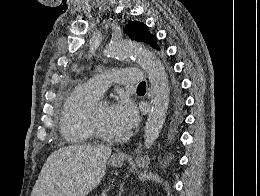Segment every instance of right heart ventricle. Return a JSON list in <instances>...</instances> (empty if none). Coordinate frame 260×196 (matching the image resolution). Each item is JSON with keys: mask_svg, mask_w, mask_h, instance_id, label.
<instances>
[{"mask_svg": "<svg viewBox=\"0 0 260 196\" xmlns=\"http://www.w3.org/2000/svg\"><path fill=\"white\" fill-rule=\"evenodd\" d=\"M100 97L88 83L73 88L65 104L61 121V133L67 143L86 144L91 141L93 133L87 126V118L92 105Z\"/></svg>", "mask_w": 260, "mask_h": 196, "instance_id": "obj_1", "label": "right heart ventricle"}]
</instances>
